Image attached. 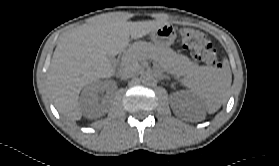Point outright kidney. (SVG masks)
Returning a JSON list of instances; mask_svg holds the SVG:
<instances>
[{
	"instance_id": "right-kidney-1",
	"label": "right kidney",
	"mask_w": 279,
	"mask_h": 166,
	"mask_svg": "<svg viewBox=\"0 0 279 166\" xmlns=\"http://www.w3.org/2000/svg\"><path fill=\"white\" fill-rule=\"evenodd\" d=\"M107 89L109 94H112L109 90L110 87L108 84L102 82H95L83 91L82 103L84 106H94L98 102V92Z\"/></svg>"
}]
</instances>
